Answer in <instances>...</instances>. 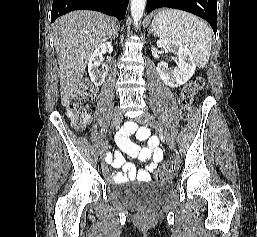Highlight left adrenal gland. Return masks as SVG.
<instances>
[{"label":"left adrenal gland","instance_id":"left-adrenal-gland-1","mask_svg":"<svg viewBox=\"0 0 257 237\" xmlns=\"http://www.w3.org/2000/svg\"><path fill=\"white\" fill-rule=\"evenodd\" d=\"M153 32V29H152V25H151V28L149 30V33H152Z\"/></svg>","mask_w":257,"mask_h":237}]
</instances>
